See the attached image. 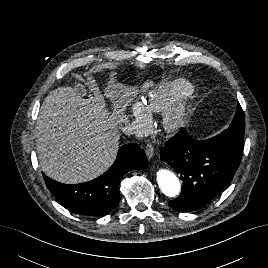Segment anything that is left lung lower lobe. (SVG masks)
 Here are the masks:
<instances>
[{"instance_id": "obj_1", "label": "left lung lower lobe", "mask_w": 268, "mask_h": 268, "mask_svg": "<svg viewBox=\"0 0 268 268\" xmlns=\"http://www.w3.org/2000/svg\"><path fill=\"white\" fill-rule=\"evenodd\" d=\"M241 157L242 152L219 143L214 137L197 140L182 128L161 148V160L183 180L181 194L168 204L182 212L201 208L230 182Z\"/></svg>"}]
</instances>
